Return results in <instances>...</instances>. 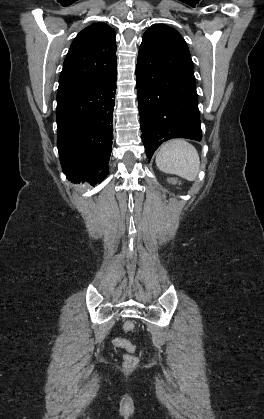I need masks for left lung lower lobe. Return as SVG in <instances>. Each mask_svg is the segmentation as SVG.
<instances>
[{
	"label": "left lung lower lobe",
	"instance_id": "0a47b994",
	"mask_svg": "<svg viewBox=\"0 0 264 419\" xmlns=\"http://www.w3.org/2000/svg\"><path fill=\"white\" fill-rule=\"evenodd\" d=\"M166 39L143 40L136 66L142 141L150 160L171 138L202 140L194 74Z\"/></svg>",
	"mask_w": 264,
	"mask_h": 419
}]
</instances>
